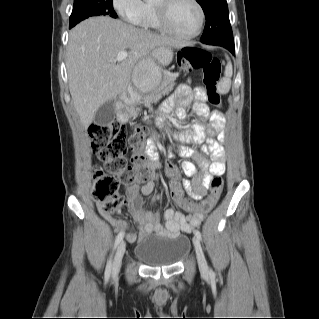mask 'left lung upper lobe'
<instances>
[{
	"instance_id": "left-lung-upper-lobe-1",
	"label": "left lung upper lobe",
	"mask_w": 319,
	"mask_h": 319,
	"mask_svg": "<svg viewBox=\"0 0 319 319\" xmlns=\"http://www.w3.org/2000/svg\"><path fill=\"white\" fill-rule=\"evenodd\" d=\"M202 7L206 24L201 42L209 45L233 43L226 0H196Z\"/></svg>"
}]
</instances>
